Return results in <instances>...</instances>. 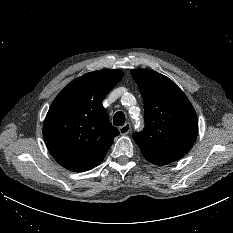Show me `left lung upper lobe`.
<instances>
[{"instance_id":"left-lung-upper-lobe-1","label":"left lung upper lobe","mask_w":233,"mask_h":233,"mask_svg":"<svg viewBox=\"0 0 233 233\" xmlns=\"http://www.w3.org/2000/svg\"><path fill=\"white\" fill-rule=\"evenodd\" d=\"M144 102L145 128L133 138L146 159L171 163L192 148L198 133L196 112L182 90L151 70L130 71Z\"/></svg>"}]
</instances>
